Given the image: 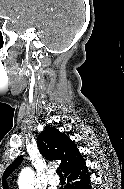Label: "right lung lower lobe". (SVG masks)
Returning a JSON list of instances; mask_svg holds the SVG:
<instances>
[{
	"label": "right lung lower lobe",
	"instance_id": "obj_1",
	"mask_svg": "<svg viewBox=\"0 0 124 189\" xmlns=\"http://www.w3.org/2000/svg\"><path fill=\"white\" fill-rule=\"evenodd\" d=\"M67 185L65 189H91L90 175L85 160L65 173Z\"/></svg>",
	"mask_w": 124,
	"mask_h": 189
}]
</instances>
